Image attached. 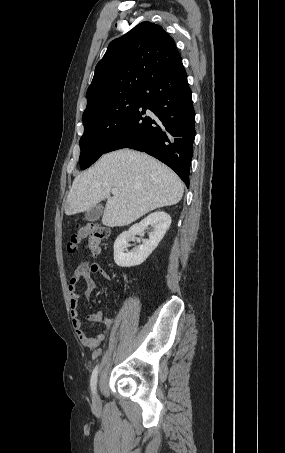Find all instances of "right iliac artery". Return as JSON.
<instances>
[{
	"mask_svg": "<svg viewBox=\"0 0 285 453\" xmlns=\"http://www.w3.org/2000/svg\"><path fill=\"white\" fill-rule=\"evenodd\" d=\"M97 375H98V366H96L92 372L91 380H90V387L92 393H95L96 391V385H97Z\"/></svg>",
	"mask_w": 285,
	"mask_h": 453,
	"instance_id": "1",
	"label": "right iliac artery"
}]
</instances>
